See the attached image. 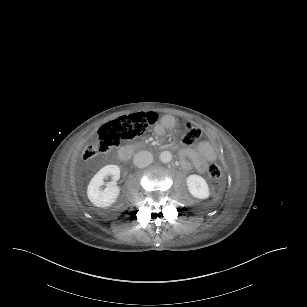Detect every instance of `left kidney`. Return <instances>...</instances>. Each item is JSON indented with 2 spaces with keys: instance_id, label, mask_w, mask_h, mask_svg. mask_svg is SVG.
Masks as SVG:
<instances>
[{
  "instance_id": "1",
  "label": "left kidney",
  "mask_w": 307,
  "mask_h": 307,
  "mask_svg": "<svg viewBox=\"0 0 307 307\" xmlns=\"http://www.w3.org/2000/svg\"><path fill=\"white\" fill-rule=\"evenodd\" d=\"M188 190L193 197L206 199L209 197V187L205 179L199 175H189L186 179Z\"/></svg>"
}]
</instances>
